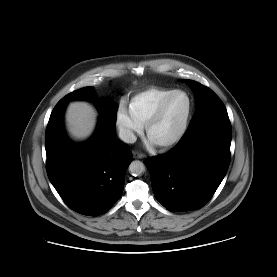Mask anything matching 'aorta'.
Wrapping results in <instances>:
<instances>
[{"label": "aorta", "instance_id": "1", "mask_svg": "<svg viewBox=\"0 0 277 277\" xmlns=\"http://www.w3.org/2000/svg\"><path fill=\"white\" fill-rule=\"evenodd\" d=\"M145 171V165L141 161H133L129 165V172L134 176H139Z\"/></svg>", "mask_w": 277, "mask_h": 277}]
</instances>
